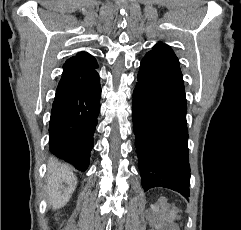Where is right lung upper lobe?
<instances>
[{
  "mask_svg": "<svg viewBox=\"0 0 241 230\" xmlns=\"http://www.w3.org/2000/svg\"><path fill=\"white\" fill-rule=\"evenodd\" d=\"M72 58L84 66H97L95 58L86 52H79L75 57Z\"/></svg>",
  "mask_w": 241,
  "mask_h": 230,
  "instance_id": "right-lung-upper-lobe-1",
  "label": "right lung upper lobe"
}]
</instances>
